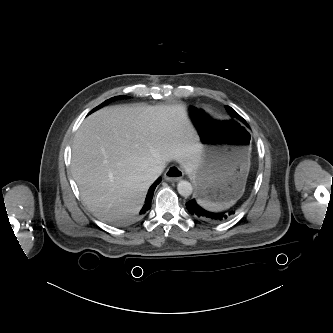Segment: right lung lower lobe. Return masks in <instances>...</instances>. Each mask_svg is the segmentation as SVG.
I'll return each instance as SVG.
<instances>
[{
  "label": "right lung lower lobe",
  "instance_id": "98d812e1",
  "mask_svg": "<svg viewBox=\"0 0 333 333\" xmlns=\"http://www.w3.org/2000/svg\"><path fill=\"white\" fill-rule=\"evenodd\" d=\"M161 182V178L159 177L150 187L146 200H145V204L143 206V208L140 211V214H144L146 213L150 208H151V202H152V198H153V193L155 190V187Z\"/></svg>",
  "mask_w": 333,
  "mask_h": 333
}]
</instances>
